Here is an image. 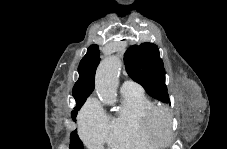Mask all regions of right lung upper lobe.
Returning <instances> with one entry per match:
<instances>
[{"instance_id": "right-lung-upper-lobe-1", "label": "right lung upper lobe", "mask_w": 227, "mask_h": 149, "mask_svg": "<svg viewBox=\"0 0 227 149\" xmlns=\"http://www.w3.org/2000/svg\"><path fill=\"white\" fill-rule=\"evenodd\" d=\"M99 54L98 45L93 44L88 48L86 55L80 61L78 67L80 77L72 91L73 97L76 100V107L74 109L83 105L94 90L95 73L100 61Z\"/></svg>"}]
</instances>
